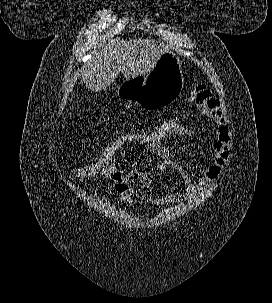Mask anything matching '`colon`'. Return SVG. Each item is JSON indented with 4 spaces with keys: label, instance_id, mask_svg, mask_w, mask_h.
Masks as SVG:
<instances>
[{
    "label": "colon",
    "instance_id": "colon-1",
    "mask_svg": "<svg viewBox=\"0 0 272 303\" xmlns=\"http://www.w3.org/2000/svg\"><path fill=\"white\" fill-rule=\"evenodd\" d=\"M185 127L186 125L180 115L174 114L163 118L152 128L115 136L102 148L96 157L73 167L71 176L76 180H88L111 173L117 169L115 160L122 152L131 148L162 144ZM150 184L151 177L145 174L140 186L134 192L125 196L124 199L131 203L146 200L150 195Z\"/></svg>",
    "mask_w": 272,
    "mask_h": 303
}]
</instances>
